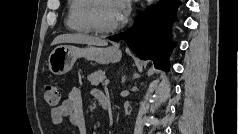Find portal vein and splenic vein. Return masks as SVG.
Here are the masks:
<instances>
[{
	"mask_svg": "<svg viewBox=\"0 0 239 134\" xmlns=\"http://www.w3.org/2000/svg\"><path fill=\"white\" fill-rule=\"evenodd\" d=\"M109 83H110V80H109V79H106L105 82H104L105 85H107V84H109Z\"/></svg>",
	"mask_w": 239,
	"mask_h": 134,
	"instance_id": "18ae733b",
	"label": "portal vein and splenic vein"
}]
</instances>
